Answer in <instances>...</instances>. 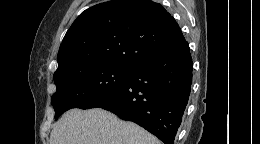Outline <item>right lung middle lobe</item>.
I'll list each match as a JSON object with an SVG mask.
<instances>
[{
    "mask_svg": "<svg viewBox=\"0 0 260 144\" xmlns=\"http://www.w3.org/2000/svg\"><path fill=\"white\" fill-rule=\"evenodd\" d=\"M130 72L131 67L105 64L54 76L55 120L71 108L89 109L106 100L126 83Z\"/></svg>",
    "mask_w": 260,
    "mask_h": 144,
    "instance_id": "right-lung-middle-lobe-1",
    "label": "right lung middle lobe"
}]
</instances>
